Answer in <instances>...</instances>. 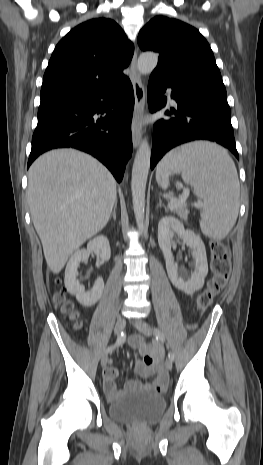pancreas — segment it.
<instances>
[{
	"instance_id": "1",
	"label": "pancreas",
	"mask_w": 263,
	"mask_h": 465,
	"mask_svg": "<svg viewBox=\"0 0 263 465\" xmlns=\"http://www.w3.org/2000/svg\"><path fill=\"white\" fill-rule=\"evenodd\" d=\"M173 212L183 220H186L189 214V210L186 208L185 205L178 206L173 210Z\"/></svg>"
}]
</instances>
